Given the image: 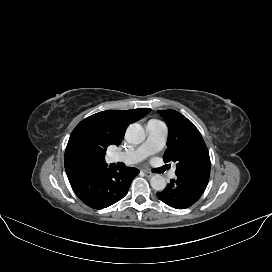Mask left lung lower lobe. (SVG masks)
Returning a JSON list of instances; mask_svg holds the SVG:
<instances>
[{"mask_svg":"<svg viewBox=\"0 0 272 272\" xmlns=\"http://www.w3.org/2000/svg\"><path fill=\"white\" fill-rule=\"evenodd\" d=\"M167 187L158 192V198L176 209L193 205L203 194L209 181L210 172L177 174Z\"/></svg>","mask_w":272,"mask_h":272,"instance_id":"obj_1","label":"left lung lower lobe"}]
</instances>
